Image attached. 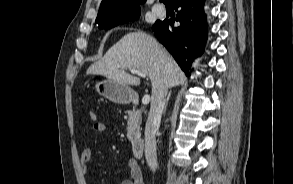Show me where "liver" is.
Segmentation results:
<instances>
[{"label": "liver", "mask_w": 293, "mask_h": 184, "mask_svg": "<svg viewBox=\"0 0 293 184\" xmlns=\"http://www.w3.org/2000/svg\"><path fill=\"white\" fill-rule=\"evenodd\" d=\"M125 69H137L145 73L152 83V95L163 85L173 88L186 81L185 74L168 51L143 31L124 35L100 60L90 65L86 74L139 85L140 79Z\"/></svg>", "instance_id": "1"}]
</instances>
